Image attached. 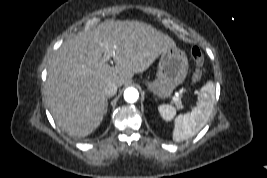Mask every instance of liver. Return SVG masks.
I'll use <instances>...</instances> for the list:
<instances>
[{"label":"liver","mask_w":267,"mask_h":178,"mask_svg":"<svg viewBox=\"0 0 267 178\" xmlns=\"http://www.w3.org/2000/svg\"><path fill=\"white\" fill-rule=\"evenodd\" d=\"M116 47L115 66L102 62L106 47ZM174 41L139 21L111 20L65 41L48 66L46 101L57 125L70 136L86 137L101 124L104 87L127 83L142 73Z\"/></svg>","instance_id":"liver-1"}]
</instances>
